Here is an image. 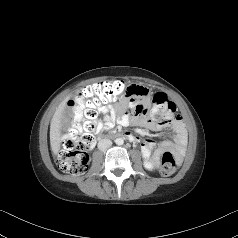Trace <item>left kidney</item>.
Wrapping results in <instances>:
<instances>
[{"label": "left kidney", "instance_id": "5707ae66", "mask_svg": "<svg viewBox=\"0 0 238 238\" xmlns=\"http://www.w3.org/2000/svg\"><path fill=\"white\" fill-rule=\"evenodd\" d=\"M143 165L147 170H153V168H154L152 162H150V161H144Z\"/></svg>", "mask_w": 238, "mask_h": 238}]
</instances>
